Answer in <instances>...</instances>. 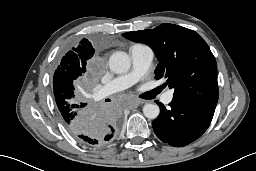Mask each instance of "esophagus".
<instances>
[{
	"label": "esophagus",
	"mask_w": 256,
	"mask_h": 171,
	"mask_svg": "<svg viewBox=\"0 0 256 171\" xmlns=\"http://www.w3.org/2000/svg\"><path fill=\"white\" fill-rule=\"evenodd\" d=\"M143 103L144 102L142 100H131V101L127 102L126 105H127V108H129V109H135Z\"/></svg>",
	"instance_id": "obj_1"
}]
</instances>
